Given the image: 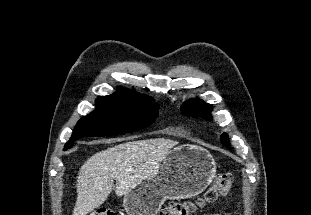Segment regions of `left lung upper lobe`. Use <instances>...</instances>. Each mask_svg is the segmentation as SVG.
<instances>
[{"label":"left lung upper lobe","instance_id":"left-lung-upper-lobe-1","mask_svg":"<svg viewBox=\"0 0 311 215\" xmlns=\"http://www.w3.org/2000/svg\"><path fill=\"white\" fill-rule=\"evenodd\" d=\"M182 111L189 115V116H193V117H204L206 119H210V112L212 110L211 105L203 102L200 99H193L190 100L188 102H186L185 104H183L182 106ZM221 142L225 145L228 146V136L227 134L223 133L221 135Z\"/></svg>","mask_w":311,"mask_h":215}]
</instances>
